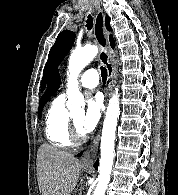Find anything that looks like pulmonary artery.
I'll return each mask as SVG.
<instances>
[{"label": "pulmonary artery", "instance_id": "obj_1", "mask_svg": "<svg viewBox=\"0 0 178 195\" xmlns=\"http://www.w3.org/2000/svg\"><path fill=\"white\" fill-rule=\"evenodd\" d=\"M80 86L83 88H95L99 83V74L95 69L86 70L80 78Z\"/></svg>", "mask_w": 178, "mask_h": 195}]
</instances>
